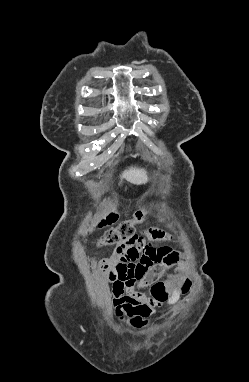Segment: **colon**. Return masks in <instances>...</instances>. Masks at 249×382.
<instances>
[{
    "mask_svg": "<svg viewBox=\"0 0 249 382\" xmlns=\"http://www.w3.org/2000/svg\"><path fill=\"white\" fill-rule=\"evenodd\" d=\"M146 216L147 211L145 209L137 211L131 219L122 221L117 226L108 229L99 240V244L112 245L122 241H141L140 238H137L135 226L144 223ZM115 217V212H111L99 225L111 223ZM140 249L144 250L143 258L139 259L138 265L131 266L129 275L138 278L139 282H153L151 297L161 298V301H164L167 296L166 287L162 282H156V280L164 276L166 271L177 268V261L181 255L172 249L163 250L162 247ZM188 288L187 286V290Z\"/></svg>",
    "mask_w": 249,
    "mask_h": 382,
    "instance_id": "colon-1",
    "label": "colon"
}]
</instances>
